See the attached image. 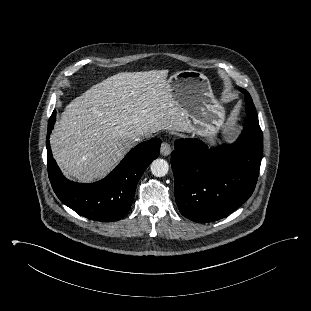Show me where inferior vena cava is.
<instances>
[{
  "label": "inferior vena cava",
  "instance_id": "inferior-vena-cava-1",
  "mask_svg": "<svg viewBox=\"0 0 311 311\" xmlns=\"http://www.w3.org/2000/svg\"><path fill=\"white\" fill-rule=\"evenodd\" d=\"M145 137H146V136H144L143 134H134L133 137H132V139H133L134 141H140V140L144 139Z\"/></svg>",
  "mask_w": 311,
  "mask_h": 311
}]
</instances>
